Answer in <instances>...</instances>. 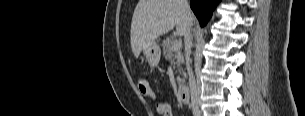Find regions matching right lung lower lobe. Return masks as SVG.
Instances as JSON below:
<instances>
[{
  "instance_id": "obj_1",
  "label": "right lung lower lobe",
  "mask_w": 305,
  "mask_h": 116,
  "mask_svg": "<svg viewBox=\"0 0 305 116\" xmlns=\"http://www.w3.org/2000/svg\"><path fill=\"white\" fill-rule=\"evenodd\" d=\"M220 0H191L190 7L198 18L200 25L205 26L212 11Z\"/></svg>"
}]
</instances>
